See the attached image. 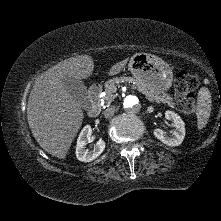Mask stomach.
I'll return each instance as SVG.
<instances>
[{"instance_id": "0dacf381", "label": "stomach", "mask_w": 221, "mask_h": 221, "mask_svg": "<svg viewBox=\"0 0 221 221\" xmlns=\"http://www.w3.org/2000/svg\"><path fill=\"white\" fill-rule=\"evenodd\" d=\"M128 69L137 83L155 94H162L171 87L172 69L158 56L136 53L131 57Z\"/></svg>"}]
</instances>
